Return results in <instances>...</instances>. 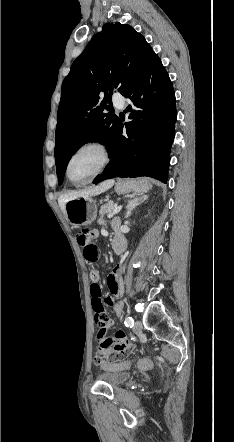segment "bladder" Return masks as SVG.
<instances>
[{
	"instance_id": "obj_1",
	"label": "bladder",
	"mask_w": 234,
	"mask_h": 442,
	"mask_svg": "<svg viewBox=\"0 0 234 442\" xmlns=\"http://www.w3.org/2000/svg\"><path fill=\"white\" fill-rule=\"evenodd\" d=\"M132 373L127 368L112 367L98 373V377L106 383L116 386L130 379Z\"/></svg>"
}]
</instances>
